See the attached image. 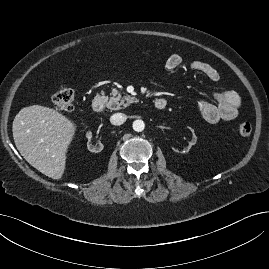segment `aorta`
<instances>
[{
  "mask_svg": "<svg viewBox=\"0 0 269 269\" xmlns=\"http://www.w3.org/2000/svg\"><path fill=\"white\" fill-rule=\"evenodd\" d=\"M145 128V123L142 120H135L133 122V129L136 132H141Z\"/></svg>",
  "mask_w": 269,
  "mask_h": 269,
  "instance_id": "aorta-1",
  "label": "aorta"
}]
</instances>
